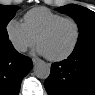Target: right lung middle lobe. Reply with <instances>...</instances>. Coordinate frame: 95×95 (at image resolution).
<instances>
[{
  "instance_id": "right-lung-middle-lobe-1",
  "label": "right lung middle lobe",
  "mask_w": 95,
  "mask_h": 95,
  "mask_svg": "<svg viewBox=\"0 0 95 95\" xmlns=\"http://www.w3.org/2000/svg\"><path fill=\"white\" fill-rule=\"evenodd\" d=\"M18 9L19 7L15 5L0 6V44L10 43L6 26L9 21L15 16Z\"/></svg>"
}]
</instances>
